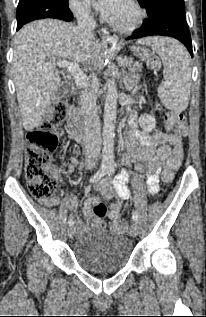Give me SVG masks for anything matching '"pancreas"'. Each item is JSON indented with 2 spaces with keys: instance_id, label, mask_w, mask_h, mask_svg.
I'll return each instance as SVG.
<instances>
[{
  "instance_id": "cf45deb5",
  "label": "pancreas",
  "mask_w": 206,
  "mask_h": 317,
  "mask_svg": "<svg viewBox=\"0 0 206 317\" xmlns=\"http://www.w3.org/2000/svg\"><path fill=\"white\" fill-rule=\"evenodd\" d=\"M142 64L139 61H129L125 66L124 69L130 71L131 75L135 76L137 72L142 70Z\"/></svg>"
}]
</instances>
